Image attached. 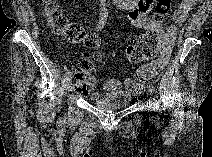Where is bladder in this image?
Wrapping results in <instances>:
<instances>
[{"instance_id":"bladder-1","label":"bladder","mask_w":212,"mask_h":157,"mask_svg":"<svg viewBox=\"0 0 212 157\" xmlns=\"http://www.w3.org/2000/svg\"><path fill=\"white\" fill-rule=\"evenodd\" d=\"M132 101V96L124 91H111L95 97L93 105L101 110H116L126 108Z\"/></svg>"}]
</instances>
